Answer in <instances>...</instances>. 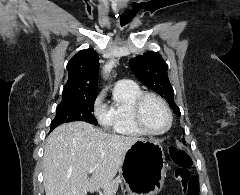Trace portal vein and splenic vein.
I'll return each instance as SVG.
<instances>
[{"label":"portal vein and splenic vein","instance_id":"portal-vein-and-splenic-vein-1","mask_svg":"<svg viewBox=\"0 0 240 195\" xmlns=\"http://www.w3.org/2000/svg\"><path fill=\"white\" fill-rule=\"evenodd\" d=\"M96 167H90L89 169V173H93V171H95Z\"/></svg>","mask_w":240,"mask_h":195}]
</instances>
